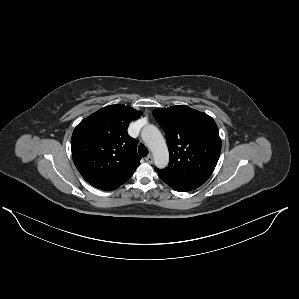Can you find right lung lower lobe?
Wrapping results in <instances>:
<instances>
[{"mask_svg":"<svg viewBox=\"0 0 299 299\" xmlns=\"http://www.w3.org/2000/svg\"><path fill=\"white\" fill-rule=\"evenodd\" d=\"M119 186H120V185H119ZM119 186H114V187L107 188V189H103V190H108V191H110V190H114V189L118 188Z\"/></svg>","mask_w":299,"mask_h":299,"instance_id":"obj_1","label":"right lung lower lobe"}]
</instances>
